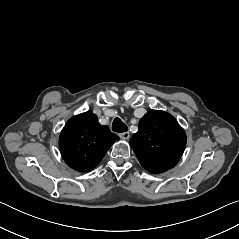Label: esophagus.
Here are the masks:
<instances>
[{
	"label": "esophagus",
	"mask_w": 239,
	"mask_h": 239,
	"mask_svg": "<svg viewBox=\"0 0 239 239\" xmlns=\"http://www.w3.org/2000/svg\"><path fill=\"white\" fill-rule=\"evenodd\" d=\"M119 137L121 139H128L130 137V133L129 132H123V133H119Z\"/></svg>",
	"instance_id": "1"
}]
</instances>
